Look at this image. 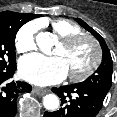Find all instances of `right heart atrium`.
<instances>
[{
  "label": "right heart atrium",
  "instance_id": "obj_1",
  "mask_svg": "<svg viewBox=\"0 0 117 117\" xmlns=\"http://www.w3.org/2000/svg\"><path fill=\"white\" fill-rule=\"evenodd\" d=\"M38 30L37 22H29L20 28L15 39L16 50L19 53H25L35 48Z\"/></svg>",
  "mask_w": 117,
  "mask_h": 117
}]
</instances>
